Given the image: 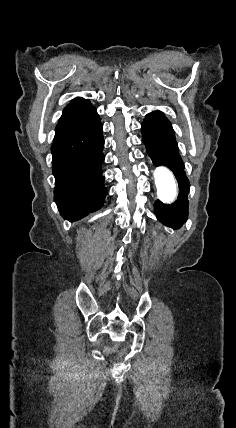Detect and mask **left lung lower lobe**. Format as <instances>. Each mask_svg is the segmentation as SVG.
Instances as JSON below:
<instances>
[{"instance_id":"obj_1","label":"left lung lower lobe","mask_w":236,"mask_h":428,"mask_svg":"<svg viewBox=\"0 0 236 428\" xmlns=\"http://www.w3.org/2000/svg\"><path fill=\"white\" fill-rule=\"evenodd\" d=\"M142 139L154 165L168 167L177 179L180 189L178 199L171 205L157 200L154 207L158 220L178 229L188 217L189 180L184 172V163L179 155L174 130L162 112L154 111L147 114L142 123Z\"/></svg>"}]
</instances>
